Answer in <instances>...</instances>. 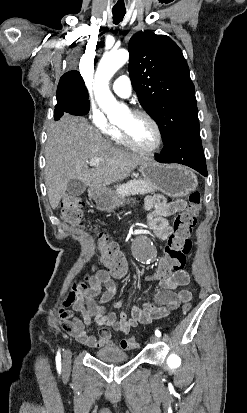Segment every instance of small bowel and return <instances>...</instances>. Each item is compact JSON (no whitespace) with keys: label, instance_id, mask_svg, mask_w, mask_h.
Returning <instances> with one entry per match:
<instances>
[{"label":"small bowel","instance_id":"c3829d8e","mask_svg":"<svg viewBox=\"0 0 247 413\" xmlns=\"http://www.w3.org/2000/svg\"><path fill=\"white\" fill-rule=\"evenodd\" d=\"M145 207L149 211L148 224L161 238L168 237L172 230L167 217L188 208L185 200L168 202L161 194L148 196ZM108 268V267H107ZM117 282L123 281L122 275L111 277L109 269L95 267L92 273H86L82 279L75 281L64 301V305H72L73 310L81 315L74 316L69 310L61 309L58 314V324L65 334L75 337L82 344L93 348H110L114 341L111 333L103 328L98 336L92 335L90 329L94 326L112 328L117 333L128 334L131 328L138 324H149L151 321L168 316L180 303L189 301L192 294L182 287L189 283V274L180 268L174 271L173 277H156L161 290L154 294L156 304L145 303L142 307L134 305L130 314L107 312L105 304L110 302L116 292ZM119 310L123 306L121 300L112 304Z\"/></svg>","mask_w":247,"mask_h":413}]
</instances>
